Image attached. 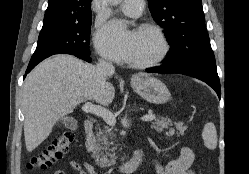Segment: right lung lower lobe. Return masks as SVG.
<instances>
[{"instance_id": "obj_1", "label": "right lung lower lobe", "mask_w": 249, "mask_h": 174, "mask_svg": "<svg viewBox=\"0 0 249 174\" xmlns=\"http://www.w3.org/2000/svg\"><path fill=\"white\" fill-rule=\"evenodd\" d=\"M71 55H74L80 59H83L87 62H91V58H90V54H84V53H71ZM47 58V57H46ZM45 58L43 59H40L36 62H30L29 65H28V68L26 70V74L29 73L39 62H41L42 60H44ZM26 76V75H25ZM24 76V78H25Z\"/></svg>"}]
</instances>
